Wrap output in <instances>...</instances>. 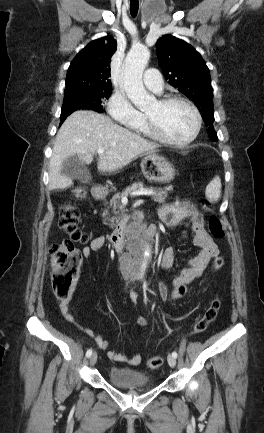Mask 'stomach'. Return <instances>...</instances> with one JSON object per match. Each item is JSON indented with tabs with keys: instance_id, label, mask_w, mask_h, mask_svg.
<instances>
[{
	"instance_id": "obj_1",
	"label": "stomach",
	"mask_w": 264,
	"mask_h": 433,
	"mask_svg": "<svg viewBox=\"0 0 264 433\" xmlns=\"http://www.w3.org/2000/svg\"><path fill=\"white\" fill-rule=\"evenodd\" d=\"M140 167L144 177L150 182L169 183L175 177L174 166L159 155H145L141 160Z\"/></svg>"
}]
</instances>
